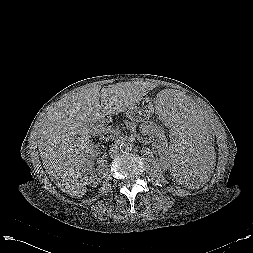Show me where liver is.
Listing matches in <instances>:
<instances>
[{
	"label": "liver",
	"instance_id": "obj_1",
	"mask_svg": "<svg viewBox=\"0 0 253 253\" xmlns=\"http://www.w3.org/2000/svg\"><path fill=\"white\" fill-rule=\"evenodd\" d=\"M152 89L146 83L93 85L58 103L40 123L39 150L51 180L66 194L80 198L87 192L85 162L95 123L125 112ZM101 101V102H100Z\"/></svg>",
	"mask_w": 253,
	"mask_h": 253
}]
</instances>
